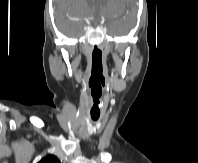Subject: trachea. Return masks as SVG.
<instances>
[{
	"mask_svg": "<svg viewBox=\"0 0 198 163\" xmlns=\"http://www.w3.org/2000/svg\"><path fill=\"white\" fill-rule=\"evenodd\" d=\"M98 116H92V119L94 120V121H96V120H98Z\"/></svg>",
	"mask_w": 198,
	"mask_h": 163,
	"instance_id": "trachea-1",
	"label": "trachea"
}]
</instances>
